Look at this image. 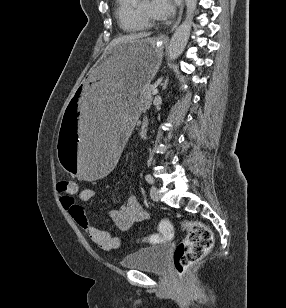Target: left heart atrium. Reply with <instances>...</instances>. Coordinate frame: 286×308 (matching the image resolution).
Segmentation results:
<instances>
[{"label": "left heart atrium", "mask_w": 286, "mask_h": 308, "mask_svg": "<svg viewBox=\"0 0 286 308\" xmlns=\"http://www.w3.org/2000/svg\"><path fill=\"white\" fill-rule=\"evenodd\" d=\"M151 9L154 17L159 19L169 18L175 9L173 0H152Z\"/></svg>", "instance_id": "left-heart-atrium-1"}]
</instances>
